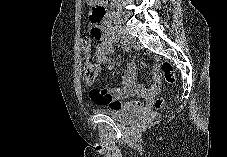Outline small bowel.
<instances>
[{
	"label": "small bowel",
	"mask_w": 227,
	"mask_h": 157,
	"mask_svg": "<svg viewBox=\"0 0 227 157\" xmlns=\"http://www.w3.org/2000/svg\"><path fill=\"white\" fill-rule=\"evenodd\" d=\"M100 43L95 49L96 62L99 66H106L109 70L113 69L116 61L110 58L113 53L112 32H100L98 38ZM85 53H90L92 48L84 47ZM124 82L123 84L113 89L92 88L90 90L91 100L99 105H106L113 109L136 110L146 108L152 104L154 97L157 95L160 88V77L157 71L154 72L153 82L149 88L136 81V68L133 62H128L124 67ZM138 97L139 100L124 102V99L129 97Z\"/></svg>",
	"instance_id": "c3829d8e"
}]
</instances>
